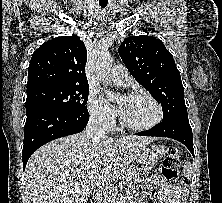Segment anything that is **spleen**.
Segmentation results:
<instances>
[{
    "label": "spleen",
    "mask_w": 222,
    "mask_h": 203,
    "mask_svg": "<svg viewBox=\"0 0 222 203\" xmlns=\"http://www.w3.org/2000/svg\"><path fill=\"white\" fill-rule=\"evenodd\" d=\"M183 173L187 179H191L193 175V168L190 163H186L183 166Z\"/></svg>",
    "instance_id": "3e777b00"
}]
</instances>
